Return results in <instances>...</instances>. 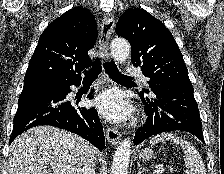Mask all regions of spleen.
<instances>
[{"label": "spleen", "mask_w": 224, "mask_h": 174, "mask_svg": "<svg viewBox=\"0 0 224 174\" xmlns=\"http://www.w3.org/2000/svg\"><path fill=\"white\" fill-rule=\"evenodd\" d=\"M173 141L177 145H180L185 154V166L189 171V174H206L205 165L202 161L201 155L189 142L174 135L173 133H160L154 136L150 140L151 145H155L159 142Z\"/></svg>", "instance_id": "1"}]
</instances>
